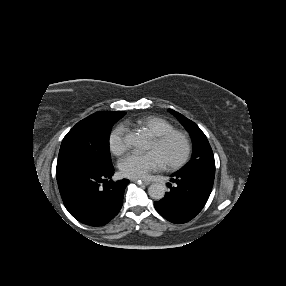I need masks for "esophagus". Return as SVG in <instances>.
<instances>
[{"instance_id":"obj_1","label":"esophagus","mask_w":286,"mask_h":286,"mask_svg":"<svg viewBox=\"0 0 286 286\" xmlns=\"http://www.w3.org/2000/svg\"><path fill=\"white\" fill-rule=\"evenodd\" d=\"M139 185H144V186H147L149 185L151 182L150 181H146V180H139V181H136Z\"/></svg>"}]
</instances>
